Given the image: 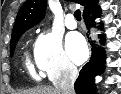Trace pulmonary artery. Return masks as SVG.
I'll return each mask as SVG.
<instances>
[{"label": "pulmonary artery", "instance_id": "pulmonary-artery-1", "mask_svg": "<svg viewBox=\"0 0 121 94\" xmlns=\"http://www.w3.org/2000/svg\"><path fill=\"white\" fill-rule=\"evenodd\" d=\"M65 25L68 29H75L77 27V22L72 13L66 15Z\"/></svg>", "mask_w": 121, "mask_h": 94}]
</instances>
